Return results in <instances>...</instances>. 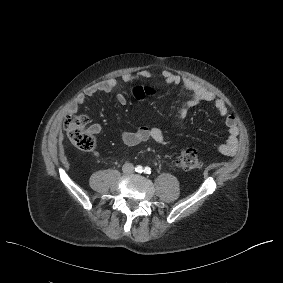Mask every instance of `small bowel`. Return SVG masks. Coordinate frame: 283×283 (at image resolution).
<instances>
[{
	"label": "small bowel",
	"instance_id": "small-bowel-1",
	"mask_svg": "<svg viewBox=\"0 0 283 283\" xmlns=\"http://www.w3.org/2000/svg\"><path fill=\"white\" fill-rule=\"evenodd\" d=\"M155 75L149 70H141L136 73H126L122 76L124 82H131L133 80H148L154 78ZM160 77L167 85L179 86L182 85L186 90L191 92L190 98L184 104V110L187 112L189 109L204 103H212L217 110L218 114L224 118L225 125L228 130V137L224 143L219 145L218 150L220 153L226 156H233L238 148V134L239 128L234 116L229 112L226 103L214 95L211 91L207 90L199 83L193 81L188 77H182L171 71L165 70L160 74ZM118 85V81L115 78H110L97 82L87 87L82 93H80L72 102L71 110L77 111L78 107L82 106L87 98L93 96L96 93H110ZM116 102L123 106L127 103V99L123 94H119L116 97ZM89 133L93 136H98L101 132V126L97 123L92 124L89 129ZM122 142L127 146H136L149 140L165 145L166 138L164 132L160 128L142 126L134 131H119Z\"/></svg>",
	"mask_w": 283,
	"mask_h": 283
}]
</instances>
